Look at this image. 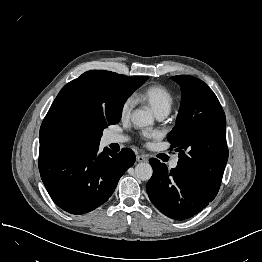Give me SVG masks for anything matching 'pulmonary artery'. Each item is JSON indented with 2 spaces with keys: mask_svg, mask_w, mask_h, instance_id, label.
<instances>
[{
  "mask_svg": "<svg viewBox=\"0 0 262 262\" xmlns=\"http://www.w3.org/2000/svg\"><path fill=\"white\" fill-rule=\"evenodd\" d=\"M169 114L168 111H162L157 113V118L158 119H164L167 117V115ZM107 141L108 143H124L126 141V138L122 135L116 134V133H110L107 136ZM177 165V160H174L170 163V167L175 168Z\"/></svg>",
  "mask_w": 262,
  "mask_h": 262,
  "instance_id": "pulmonary-artery-1",
  "label": "pulmonary artery"
}]
</instances>
